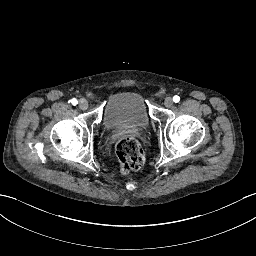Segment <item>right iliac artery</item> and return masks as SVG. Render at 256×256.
Here are the masks:
<instances>
[{
	"instance_id": "obj_1",
	"label": "right iliac artery",
	"mask_w": 256,
	"mask_h": 256,
	"mask_svg": "<svg viewBox=\"0 0 256 256\" xmlns=\"http://www.w3.org/2000/svg\"><path fill=\"white\" fill-rule=\"evenodd\" d=\"M70 103L75 106L78 103V101L77 99L73 98L70 100Z\"/></svg>"
}]
</instances>
